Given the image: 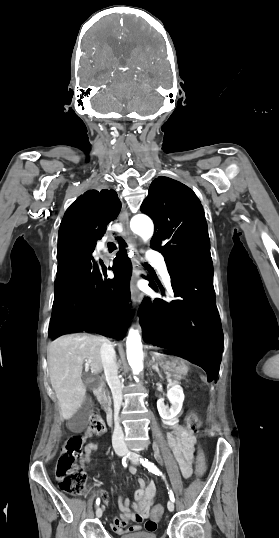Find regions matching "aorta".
<instances>
[{
	"label": "aorta",
	"mask_w": 279,
	"mask_h": 538,
	"mask_svg": "<svg viewBox=\"0 0 279 538\" xmlns=\"http://www.w3.org/2000/svg\"><path fill=\"white\" fill-rule=\"evenodd\" d=\"M131 230L139 235L145 242L153 236L154 225L152 220L145 215H136L130 222ZM127 359L134 375H138L143 370V350L141 336L137 329L131 328L128 333Z\"/></svg>",
	"instance_id": "1"
}]
</instances>
